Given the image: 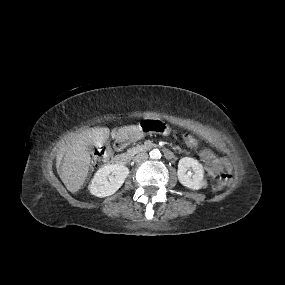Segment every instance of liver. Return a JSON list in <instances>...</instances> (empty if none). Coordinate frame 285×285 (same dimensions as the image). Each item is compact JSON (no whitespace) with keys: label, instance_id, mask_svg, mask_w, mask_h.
<instances>
[{"label":"liver","instance_id":"liver-1","mask_svg":"<svg viewBox=\"0 0 285 285\" xmlns=\"http://www.w3.org/2000/svg\"><path fill=\"white\" fill-rule=\"evenodd\" d=\"M137 130L136 125L125 126L119 128L114 135L117 138H128ZM109 135V128L95 127L80 133L68 147L61 166V179L70 192H77L87 177L91 161L87 147L103 145L108 140Z\"/></svg>","mask_w":285,"mask_h":285}]
</instances>
